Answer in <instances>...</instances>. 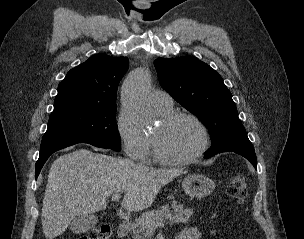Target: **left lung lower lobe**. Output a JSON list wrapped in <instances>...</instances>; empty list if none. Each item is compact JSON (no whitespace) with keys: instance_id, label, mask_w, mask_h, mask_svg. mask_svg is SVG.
I'll list each match as a JSON object with an SVG mask.
<instances>
[{"instance_id":"0a47b994","label":"left lung lower lobe","mask_w":304,"mask_h":239,"mask_svg":"<svg viewBox=\"0 0 304 239\" xmlns=\"http://www.w3.org/2000/svg\"><path fill=\"white\" fill-rule=\"evenodd\" d=\"M227 152H234L237 153L243 157H245L246 159H248L252 165L257 169V160H256V154L254 151H242V150H234V151H227ZM215 154H208L206 153V158H210L211 156H213Z\"/></svg>"}]
</instances>
